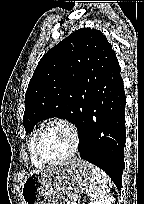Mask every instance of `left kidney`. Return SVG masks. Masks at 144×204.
<instances>
[{
  "label": "left kidney",
  "instance_id": "1",
  "mask_svg": "<svg viewBox=\"0 0 144 204\" xmlns=\"http://www.w3.org/2000/svg\"><path fill=\"white\" fill-rule=\"evenodd\" d=\"M114 203H115V199L112 196L107 195L104 198L96 200L89 204H114Z\"/></svg>",
  "mask_w": 144,
  "mask_h": 204
}]
</instances>
